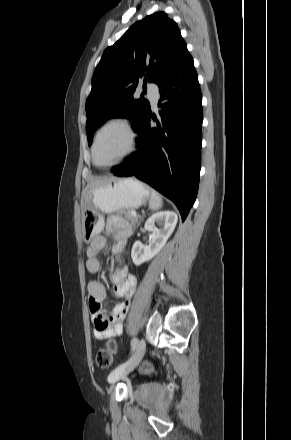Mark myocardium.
Listing matches in <instances>:
<instances>
[{"mask_svg": "<svg viewBox=\"0 0 291 440\" xmlns=\"http://www.w3.org/2000/svg\"><path fill=\"white\" fill-rule=\"evenodd\" d=\"M113 127H118L126 133V135H127V149L118 160L107 163V164H98L95 160V151H96L98 140H99L100 136L106 130L113 128ZM135 146H136V134H135V131H134L133 127L131 126V124L126 119H123V118L110 119V120L106 121L104 124H102L94 135L92 147H91L92 162L98 168H112V167L122 163L128 157H130L132 155L133 151L135 150Z\"/></svg>", "mask_w": 291, "mask_h": 440, "instance_id": "1", "label": "myocardium"}]
</instances>
